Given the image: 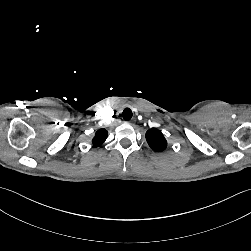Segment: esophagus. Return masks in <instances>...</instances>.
<instances>
[{"mask_svg":"<svg viewBox=\"0 0 251 251\" xmlns=\"http://www.w3.org/2000/svg\"><path fill=\"white\" fill-rule=\"evenodd\" d=\"M127 123H131V121H127Z\"/></svg>","mask_w":251,"mask_h":251,"instance_id":"1","label":"esophagus"}]
</instances>
